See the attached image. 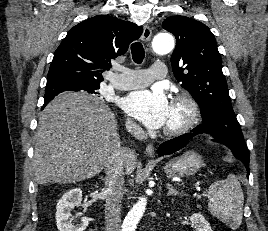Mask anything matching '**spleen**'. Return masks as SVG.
<instances>
[{
  "mask_svg": "<svg viewBox=\"0 0 268 231\" xmlns=\"http://www.w3.org/2000/svg\"><path fill=\"white\" fill-rule=\"evenodd\" d=\"M208 208L216 218L230 228L242 223L244 195L236 176L229 174L225 180L214 182L208 192Z\"/></svg>",
  "mask_w": 268,
  "mask_h": 231,
  "instance_id": "spleen-1",
  "label": "spleen"
}]
</instances>
